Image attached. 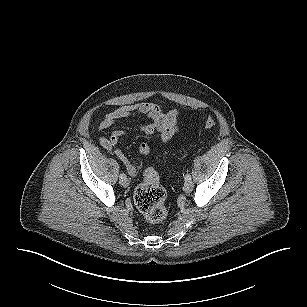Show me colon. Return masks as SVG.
I'll list each match as a JSON object with an SVG mask.
<instances>
[{
    "instance_id": "1",
    "label": "colon",
    "mask_w": 307,
    "mask_h": 307,
    "mask_svg": "<svg viewBox=\"0 0 307 307\" xmlns=\"http://www.w3.org/2000/svg\"><path fill=\"white\" fill-rule=\"evenodd\" d=\"M215 120L208 117L204 127L212 129ZM166 191L160 183V178L154 168H147L143 173V181L134 192V203L150 224L162 223L168 216V208L165 205Z\"/></svg>"
}]
</instances>
